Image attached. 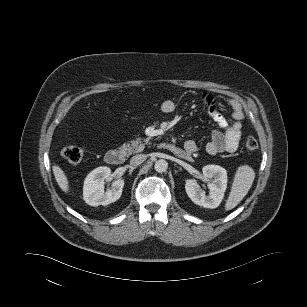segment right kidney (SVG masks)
<instances>
[{"label": "right kidney", "mask_w": 307, "mask_h": 307, "mask_svg": "<svg viewBox=\"0 0 307 307\" xmlns=\"http://www.w3.org/2000/svg\"><path fill=\"white\" fill-rule=\"evenodd\" d=\"M110 176L111 169L107 166L98 167L87 175L83 186V198L88 205L105 206L121 197L124 186V180L121 178L112 183L111 189L104 191L105 180Z\"/></svg>", "instance_id": "1"}]
</instances>
